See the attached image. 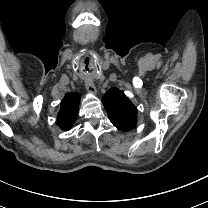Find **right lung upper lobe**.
Here are the masks:
<instances>
[{
  "mask_svg": "<svg viewBox=\"0 0 208 208\" xmlns=\"http://www.w3.org/2000/svg\"><path fill=\"white\" fill-rule=\"evenodd\" d=\"M79 102L80 95L78 93H69L62 100L57 116V123L62 129L68 130L71 128L78 116Z\"/></svg>",
  "mask_w": 208,
  "mask_h": 208,
  "instance_id": "right-lung-upper-lobe-1",
  "label": "right lung upper lobe"
}]
</instances>
